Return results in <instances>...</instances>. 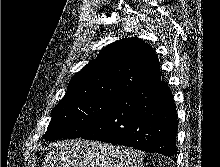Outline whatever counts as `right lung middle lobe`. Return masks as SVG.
<instances>
[{
    "instance_id": "1",
    "label": "right lung middle lobe",
    "mask_w": 220,
    "mask_h": 167,
    "mask_svg": "<svg viewBox=\"0 0 220 167\" xmlns=\"http://www.w3.org/2000/svg\"><path fill=\"white\" fill-rule=\"evenodd\" d=\"M114 97L85 96L62 99L52 111V119L43 138H79L106 114Z\"/></svg>"
}]
</instances>
